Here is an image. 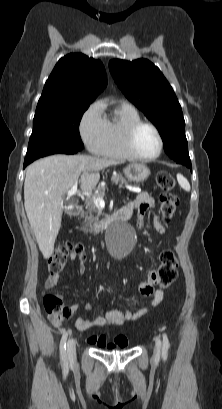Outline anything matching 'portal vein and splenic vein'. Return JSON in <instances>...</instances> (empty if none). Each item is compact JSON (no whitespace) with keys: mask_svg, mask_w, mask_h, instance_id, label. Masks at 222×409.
Segmentation results:
<instances>
[{"mask_svg":"<svg viewBox=\"0 0 222 409\" xmlns=\"http://www.w3.org/2000/svg\"><path fill=\"white\" fill-rule=\"evenodd\" d=\"M77 186H78V182L76 181V182H74L71 189L67 191V196L68 197H71L72 195H74L77 192ZM83 195H85L86 197H90V196H92V193L89 192V191H85V192H83ZM93 199H94V203H95L96 206H104L105 205V202H104L103 198L93 196Z\"/></svg>","mask_w":222,"mask_h":409,"instance_id":"portal-vein-and-splenic-vein-1","label":"portal vein and splenic vein"}]
</instances>
